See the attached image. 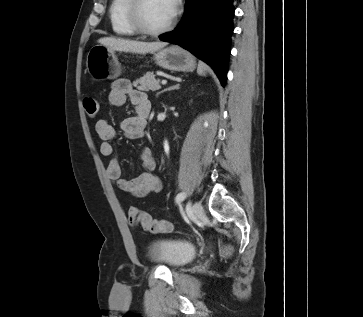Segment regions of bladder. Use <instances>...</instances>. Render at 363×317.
<instances>
[{"instance_id": "bladder-1", "label": "bladder", "mask_w": 363, "mask_h": 317, "mask_svg": "<svg viewBox=\"0 0 363 317\" xmlns=\"http://www.w3.org/2000/svg\"><path fill=\"white\" fill-rule=\"evenodd\" d=\"M146 256L152 263L174 270L192 261L196 248L182 240L155 239L147 245Z\"/></svg>"}]
</instances>
